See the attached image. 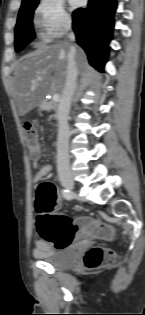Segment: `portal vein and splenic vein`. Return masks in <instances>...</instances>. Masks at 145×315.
I'll return each mask as SVG.
<instances>
[{
    "label": "portal vein and splenic vein",
    "mask_w": 145,
    "mask_h": 315,
    "mask_svg": "<svg viewBox=\"0 0 145 315\" xmlns=\"http://www.w3.org/2000/svg\"><path fill=\"white\" fill-rule=\"evenodd\" d=\"M52 98L54 101H58L59 100V94H53Z\"/></svg>",
    "instance_id": "obj_1"
}]
</instances>
